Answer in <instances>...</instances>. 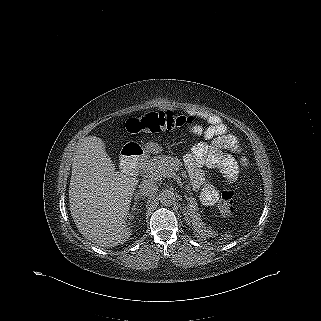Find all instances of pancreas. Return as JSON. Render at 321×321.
Masks as SVG:
<instances>
[{"instance_id": "obj_1", "label": "pancreas", "mask_w": 321, "mask_h": 321, "mask_svg": "<svg viewBox=\"0 0 321 321\" xmlns=\"http://www.w3.org/2000/svg\"><path fill=\"white\" fill-rule=\"evenodd\" d=\"M179 165L180 162L178 159L168 156H157L145 165L144 172L153 179H161L164 176H168L171 173V169ZM187 202L191 215L199 217L198 213H196L198 210L196 200L193 197H189L187 198Z\"/></svg>"}]
</instances>
